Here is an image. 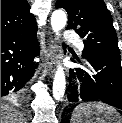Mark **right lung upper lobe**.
Here are the masks:
<instances>
[{"label": "right lung upper lobe", "instance_id": "1", "mask_svg": "<svg viewBox=\"0 0 122 123\" xmlns=\"http://www.w3.org/2000/svg\"><path fill=\"white\" fill-rule=\"evenodd\" d=\"M37 30L26 0H1V33H31Z\"/></svg>", "mask_w": 122, "mask_h": 123}]
</instances>
